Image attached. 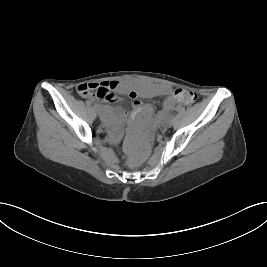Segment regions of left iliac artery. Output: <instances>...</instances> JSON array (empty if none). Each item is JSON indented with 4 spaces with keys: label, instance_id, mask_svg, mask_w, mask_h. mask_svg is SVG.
I'll use <instances>...</instances> for the list:
<instances>
[{
    "label": "left iliac artery",
    "instance_id": "left-iliac-artery-1",
    "mask_svg": "<svg viewBox=\"0 0 267 267\" xmlns=\"http://www.w3.org/2000/svg\"><path fill=\"white\" fill-rule=\"evenodd\" d=\"M166 119H167L168 121H170V120L173 119V116H172V115H168Z\"/></svg>",
    "mask_w": 267,
    "mask_h": 267
}]
</instances>
